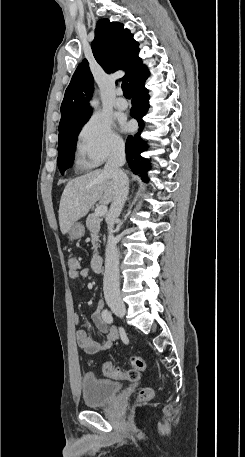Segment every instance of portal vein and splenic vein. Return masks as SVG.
<instances>
[{
  "label": "portal vein and splenic vein",
  "instance_id": "obj_1",
  "mask_svg": "<svg viewBox=\"0 0 245 457\" xmlns=\"http://www.w3.org/2000/svg\"><path fill=\"white\" fill-rule=\"evenodd\" d=\"M106 212H107L106 204H100V206H97L94 214H96V216H103V214H106Z\"/></svg>",
  "mask_w": 245,
  "mask_h": 457
}]
</instances>
